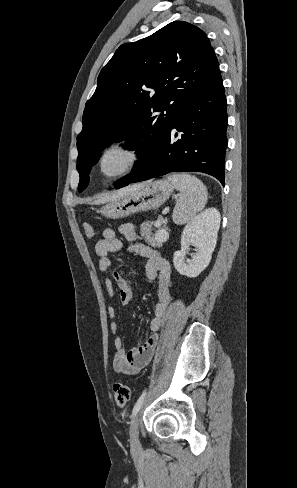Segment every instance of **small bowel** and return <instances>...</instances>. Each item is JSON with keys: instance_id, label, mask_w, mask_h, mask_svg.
Wrapping results in <instances>:
<instances>
[{"instance_id": "c3829d8e", "label": "small bowel", "mask_w": 297, "mask_h": 488, "mask_svg": "<svg viewBox=\"0 0 297 488\" xmlns=\"http://www.w3.org/2000/svg\"><path fill=\"white\" fill-rule=\"evenodd\" d=\"M118 231L130 243L128 247L130 252L148 258L146 278L148 282L157 285L158 302L153 308L149 333L135 348L125 351L119 334V324L116 321L110 324V331L115 336L113 368L116 373L121 375H135L146 367L153 357L158 339L156 332L161 328L171 302V267L156 249L138 241V234L133 224H122ZM123 248L124 243L117 237L116 231L112 228L104 229L101 238L95 244L99 272H108L112 266L109 255L119 252ZM103 284L111 298L116 294L114 286L116 285L120 302L125 305L131 301L132 280L123 270L111 272V276L106 277ZM107 313L112 319L117 317V311L113 306L107 308Z\"/></svg>"}]
</instances>
